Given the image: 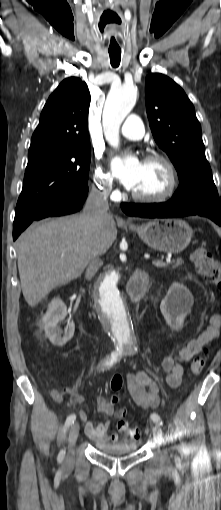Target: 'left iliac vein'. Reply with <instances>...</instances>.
<instances>
[{
    "mask_svg": "<svg viewBox=\"0 0 221 510\" xmlns=\"http://www.w3.org/2000/svg\"><path fill=\"white\" fill-rule=\"evenodd\" d=\"M153 436H154V439L158 442H162L163 441V432H162V429L160 428L159 425H155L153 427ZM164 456H165V453H164Z\"/></svg>",
    "mask_w": 221,
    "mask_h": 510,
    "instance_id": "left-iliac-vein-1",
    "label": "left iliac vein"
}]
</instances>
